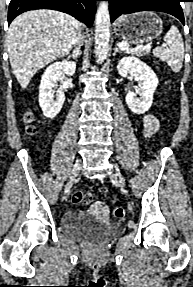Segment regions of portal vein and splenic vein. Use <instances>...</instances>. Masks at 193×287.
Returning a JSON list of instances; mask_svg holds the SVG:
<instances>
[{"label":"portal vein and splenic vein","mask_w":193,"mask_h":287,"mask_svg":"<svg viewBox=\"0 0 193 287\" xmlns=\"http://www.w3.org/2000/svg\"><path fill=\"white\" fill-rule=\"evenodd\" d=\"M121 49L128 51V52H133L134 50H138V49H149L150 46H137L135 48H129L126 44H124L123 42L118 43L117 44ZM165 46V45H162Z\"/></svg>","instance_id":"18ae733b"}]
</instances>
